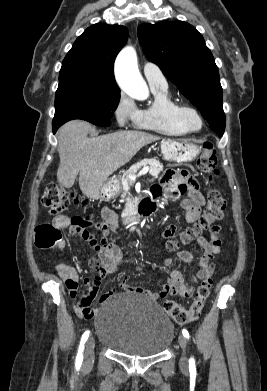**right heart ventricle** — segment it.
Returning a JSON list of instances; mask_svg holds the SVG:
<instances>
[{"label":"right heart ventricle","instance_id":"1","mask_svg":"<svg viewBox=\"0 0 267 391\" xmlns=\"http://www.w3.org/2000/svg\"><path fill=\"white\" fill-rule=\"evenodd\" d=\"M153 101L139 110L136 126L140 129L155 131L164 135L181 136L188 130L176 116L177 102L167 87H150Z\"/></svg>","mask_w":267,"mask_h":391}]
</instances>
